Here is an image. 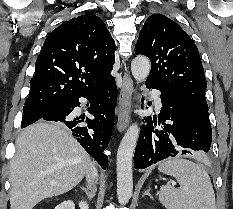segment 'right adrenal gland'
<instances>
[{
  "label": "right adrenal gland",
  "mask_w": 233,
  "mask_h": 209,
  "mask_svg": "<svg viewBox=\"0 0 233 209\" xmlns=\"http://www.w3.org/2000/svg\"><path fill=\"white\" fill-rule=\"evenodd\" d=\"M81 190H83L86 194V196L88 197V199L91 201L92 198L95 196L96 194V190H95V187H92V186H87L86 188L85 187H80Z\"/></svg>",
  "instance_id": "right-adrenal-gland-1"
}]
</instances>
